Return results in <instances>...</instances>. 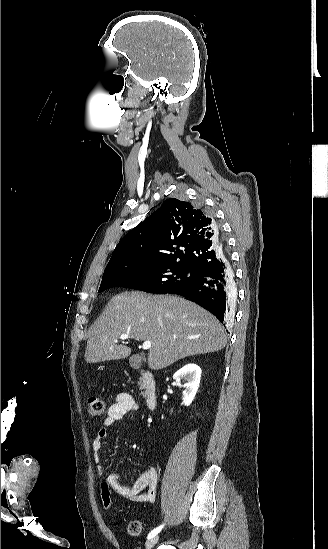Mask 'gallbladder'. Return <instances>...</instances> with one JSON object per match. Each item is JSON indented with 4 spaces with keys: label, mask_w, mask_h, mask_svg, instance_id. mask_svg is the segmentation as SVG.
Segmentation results:
<instances>
[{
    "label": "gallbladder",
    "mask_w": 328,
    "mask_h": 549,
    "mask_svg": "<svg viewBox=\"0 0 328 549\" xmlns=\"http://www.w3.org/2000/svg\"><path fill=\"white\" fill-rule=\"evenodd\" d=\"M129 365L132 369H140L141 367V357L139 355H132L129 359Z\"/></svg>",
    "instance_id": "obj_1"
}]
</instances>
